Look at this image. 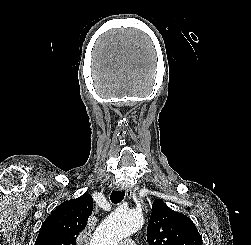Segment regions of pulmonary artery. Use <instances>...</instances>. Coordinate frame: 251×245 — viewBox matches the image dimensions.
Instances as JSON below:
<instances>
[{
	"mask_svg": "<svg viewBox=\"0 0 251 245\" xmlns=\"http://www.w3.org/2000/svg\"><path fill=\"white\" fill-rule=\"evenodd\" d=\"M120 245H135V244L131 240L126 239V240H123Z\"/></svg>",
	"mask_w": 251,
	"mask_h": 245,
	"instance_id": "1",
	"label": "pulmonary artery"
}]
</instances>
